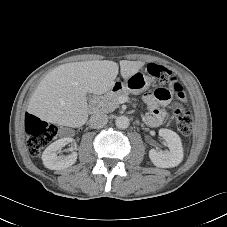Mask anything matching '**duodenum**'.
Wrapping results in <instances>:
<instances>
[{
  "instance_id": "obj_1",
  "label": "duodenum",
  "mask_w": 227,
  "mask_h": 227,
  "mask_svg": "<svg viewBox=\"0 0 227 227\" xmlns=\"http://www.w3.org/2000/svg\"><path fill=\"white\" fill-rule=\"evenodd\" d=\"M113 92H116V91H119L120 90V86L115 84L112 89H111ZM98 97H94L92 102H91V106L94 108L95 107V103L97 101Z\"/></svg>"
}]
</instances>
